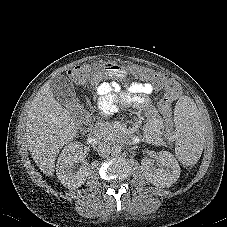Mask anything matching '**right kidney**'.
Masks as SVG:
<instances>
[{"label":"right kidney","instance_id":"obj_1","mask_svg":"<svg viewBox=\"0 0 227 227\" xmlns=\"http://www.w3.org/2000/svg\"><path fill=\"white\" fill-rule=\"evenodd\" d=\"M83 145L80 142H72L64 147L56 164V175L68 189L80 187L86 181L89 175V164L84 162L79 169L75 168V164L79 160L82 153Z\"/></svg>","mask_w":227,"mask_h":227}]
</instances>
